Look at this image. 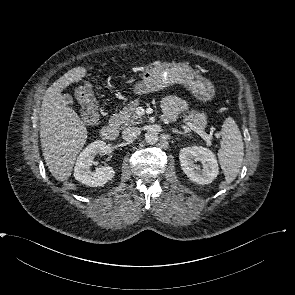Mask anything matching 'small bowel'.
<instances>
[{"label": "small bowel", "mask_w": 295, "mask_h": 295, "mask_svg": "<svg viewBox=\"0 0 295 295\" xmlns=\"http://www.w3.org/2000/svg\"><path fill=\"white\" fill-rule=\"evenodd\" d=\"M162 107L164 116L169 120L174 119L178 114L185 112L188 108L186 101L182 97L176 95L164 98Z\"/></svg>", "instance_id": "obj_1"}]
</instances>
